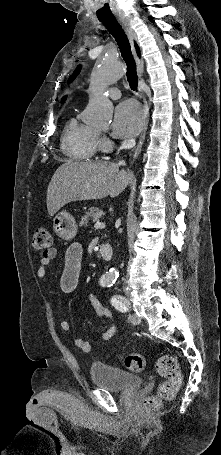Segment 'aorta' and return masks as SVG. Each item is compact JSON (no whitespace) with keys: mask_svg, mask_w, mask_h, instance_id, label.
Masks as SVG:
<instances>
[{"mask_svg":"<svg viewBox=\"0 0 221 455\" xmlns=\"http://www.w3.org/2000/svg\"><path fill=\"white\" fill-rule=\"evenodd\" d=\"M124 75L122 63L104 58L92 71L91 96L86 109L85 122L91 125H108L113 114L111 101L104 96L106 87L121 79ZM119 275L117 268H111L104 275V281L112 283Z\"/></svg>","mask_w":221,"mask_h":455,"instance_id":"762f6f07","label":"aorta"}]
</instances>
